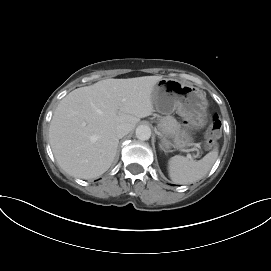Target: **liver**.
<instances>
[{
	"label": "liver",
	"mask_w": 271,
	"mask_h": 271,
	"mask_svg": "<svg viewBox=\"0 0 271 271\" xmlns=\"http://www.w3.org/2000/svg\"><path fill=\"white\" fill-rule=\"evenodd\" d=\"M161 76L105 79L77 88L58 104L49 127L55 159L66 173L96 178L106 172L116 156V129L154 111L152 92Z\"/></svg>",
	"instance_id": "1"
}]
</instances>
